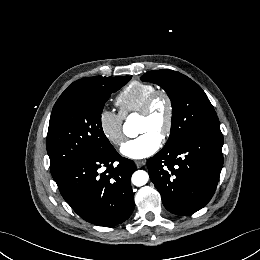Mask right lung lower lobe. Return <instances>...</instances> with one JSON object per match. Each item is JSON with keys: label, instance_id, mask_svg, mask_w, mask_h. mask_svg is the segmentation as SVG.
Masks as SVG:
<instances>
[{"label": "right lung lower lobe", "instance_id": "1", "mask_svg": "<svg viewBox=\"0 0 260 260\" xmlns=\"http://www.w3.org/2000/svg\"><path fill=\"white\" fill-rule=\"evenodd\" d=\"M117 161V166L113 163ZM102 167L106 170L101 173ZM136 166L113 148L107 154L75 159L52 175L61 195L85 221L110 227L127 220L134 209L130 180Z\"/></svg>", "mask_w": 260, "mask_h": 260}]
</instances>
